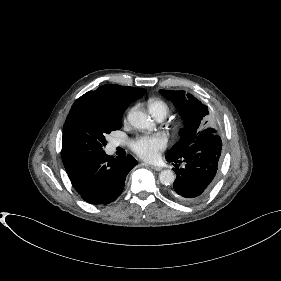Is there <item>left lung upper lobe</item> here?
<instances>
[{"instance_id":"obj_1","label":"left lung upper lobe","mask_w":281,"mask_h":281,"mask_svg":"<svg viewBox=\"0 0 281 281\" xmlns=\"http://www.w3.org/2000/svg\"><path fill=\"white\" fill-rule=\"evenodd\" d=\"M160 93L171 100L183 115L184 131L178 144L172 147L166 154L168 159L182 158L189 146L202 138L217 135L212 127L206 128L205 120L209 114L208 107L203 105L197 98L185 91L160 90Z\"/></svg>"}]
</instances>
